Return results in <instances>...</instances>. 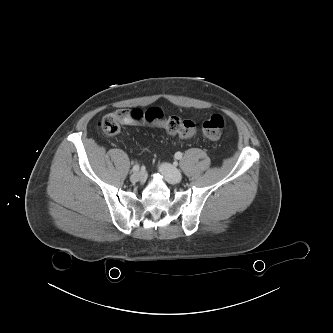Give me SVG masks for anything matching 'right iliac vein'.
Listing matches in <instances>:
<instances>
[{
    "mask_svg": "<svg viewBox=\"0 0 333 333\" xmlns=\"http://www.w3.org/2000/svg\"><path fill=\"white\" fill-rule=\"evenodd\" d=\"M142 178H143V175L140 172H135L130 176V180L133 183L140 181Z\"/></svg>",
    "mask_w": 333,
    "mask_h": 333,
    "instance_id": "obj_1",
    "label": "right iliac vein"
}]
</instances>
